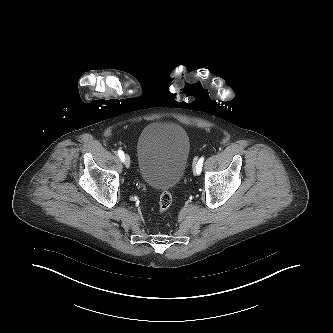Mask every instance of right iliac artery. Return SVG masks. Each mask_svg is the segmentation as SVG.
Segmentation results:
<instances>
[{
    "instance_id": "obj_1",
    "label": "right iliac artery",
    "mask_w": 333,
    "mask_h": 333,
    "mask_svg": "<svg viewBox=\"0 0 333 333\" xmlns=\"http://www.w3.org/2000/svg\"><path fill=\"white\" fill-rule=\"evenodd\" d=\"M118 156L122 161H124L125 155H124V152L121 149L118 150Z\"/></svg>"
}]
</instances>
